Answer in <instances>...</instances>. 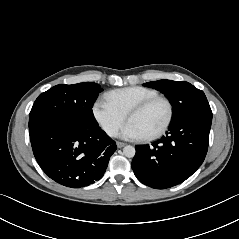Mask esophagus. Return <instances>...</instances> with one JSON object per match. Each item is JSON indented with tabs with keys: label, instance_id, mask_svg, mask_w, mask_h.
I'll return each instance as SVG.
<instances>
[{
	"label": "esophagus",
	"instance_id": "34e87169",
	"mask_svg": "<svg viewBox=\"0 0 239 239\" xmlns=\"http://www.w3.org/2000/svg\"><path fill=\"white\" fill-rule=\"evenodd\" d=\"M116 144H117V147H118V148H122V147H124V146L126 145V144L123 143V142H117Z\"/></svg>",
	"mask_w": 239,
	"mask_h": 239
}]
</instances>
